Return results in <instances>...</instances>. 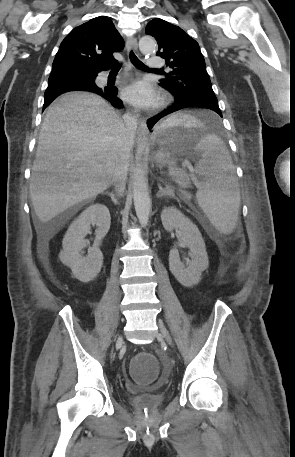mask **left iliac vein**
I'll return each mask as SVG.
<instances>
[{
    "instance_id": "obj_1",
    "label": "left iliac vein",
    "mask_w": 295,
    "mask_h": 457,
    "mask_svg": "<svg viewBox=\"0 0 295 457\" xmlns=\"http://www.w3.org/2000/svg\"><path fill=\"white\" fill-rule=\"evenodd\" d=\"M158 326H159V331H160V334L161 336L164 338V340L169 344V345H173V341H172V338L168 332V330L166 329V327L163 325L162 322H158Z\"/></svg>"
}]
</instances>
